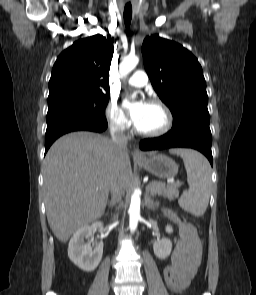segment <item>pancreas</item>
Listing matches in <instances>:
<instances>
[{"mask_svg": "<svg viewBox=\"0 0 256 295\" xmlns=\"http://www.w3.org/2000/svg\"><path fill=\"white\" fill-rule=\"evenodd\" d=\"M147 191L150 192L152 196L159 195L170 201H173L179 196L178 186L174 184L166 185L165 183L158 181H152L147 186Z\"/></svg>", "mask_w": 256, "mask_h": 295, "instance_id": "pancreas-1", "label": "pancreas"}]
</instances>
